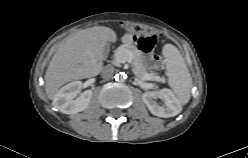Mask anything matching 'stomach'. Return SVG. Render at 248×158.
<instances>
[{
    "label": "stomach",
    "instance_id": "1",
    "mask_svg": "<svg viewBox=\"0 0 248 158\" xmlns=\"http://www.w3.org/2000/svg\"><path fill=\"white\" fill-rule=\"evenodd\" d=\"M137 38H138L137 35L134 32H131L126 42L127 44L132 45V43H135L137 41ZM145 63L147 64V66H150V62L146 58H145Z\"/></svg>",
    "mask_w": 248,
    "mask_h": 158
}]
</instances>
